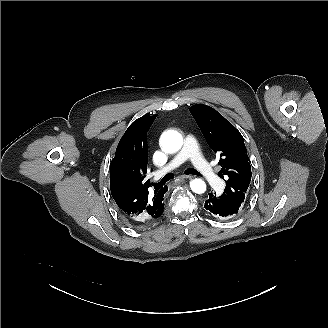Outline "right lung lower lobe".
I'll use <instances>...</instances> for the list:
<instances>
[{
    "label": "right lung lower lobe",
    "mask_w": 328,
    "mask_h": 328,
    "mask_svg": "<svg viewBox=\"0 0 328 328\" xmlns=\"http://www.w3.org/2000/svg\"><path fill=\"white\" fill-rule=\"evenodd\" d=\"M124 218L127 222H129V224L134 225V223H133V221H131V219H127L125 216H124Z\"/></svg>",
    "instance_id": "98d812e1"
}]
</instances>
